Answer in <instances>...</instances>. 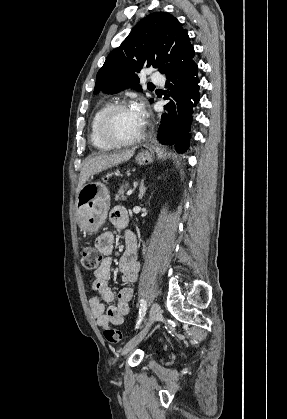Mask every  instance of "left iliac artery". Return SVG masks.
<instances>
[{
  "label": "left iliac artery",
  "mask_w": 287,
  "mask_h": 419,
  "mask_svg": "<svg viewBox=\"0 0 287 419\" xmlns=\"http://www.w3.org/2000/svg\"><path fill=\"white\" fill-rule=\"evenodd\" d=\"M146 309H147V303L144 299H141L140 300L139 316H138L136 328H139V325L141 324L142 319L145 316Z\"/></svg>",
  "instance_id": "obj_1"
}]
</instances>
